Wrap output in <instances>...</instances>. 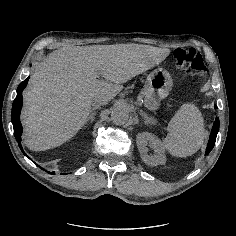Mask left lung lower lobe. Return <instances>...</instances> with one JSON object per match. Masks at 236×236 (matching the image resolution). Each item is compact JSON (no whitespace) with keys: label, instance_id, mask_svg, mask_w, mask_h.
Instances as JSON below:
<instances>
[{"label":"left lung lower lobe","instance_id":"0a47b994","mask_svg":"<svg viewBox=\"0 0 236 236\" xmlns=\"http://www.w3.org/2000/svg\"><path fill=\"white\" fill-rule=\"evenodd\" d=\"M218 131H219V119L218 117H216L215 122L213 124V128L211 130L207 149L205 152L206 155L213 149Z\"/></svg>","mask_w":236,"mask_h":236}]
</instances>
